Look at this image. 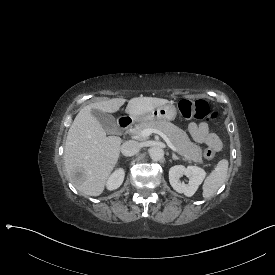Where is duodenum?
<instances>
[{
    "label": "duodenum",
    "instance_id": "1",
    "mask_svg": "<svg viewBox=\"0 0 275 275\" xmlns=\"http://www.w3.org/2000/svg\"><path fill=\"white\" fill-rule=\"evenodd\" d=\"M131 122L132 120L129 116H123L119 118L118 125L122 130H125L130 126Z\"/></svg>",
    "mask_w": 275,
    "mask_h": 275
}]
</instances>
